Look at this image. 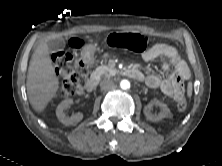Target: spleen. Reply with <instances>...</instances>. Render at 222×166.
Segmentation results:
<instances>
[{"label":"spleen","mask_w":222,"mask_h":166,"mask_svg":"<svg viewBox=\"0 0 222 166\" xmlns=\"http://www.w3.org/2000/svg\"><path fill=\"white\" fill-rule=\"evenodd\" d=\"M187 95H188V97H191V95H192V83L191 82H189L188 86H187Z\"/></svg>","instance_id":"obj_1"}]
</instances>
